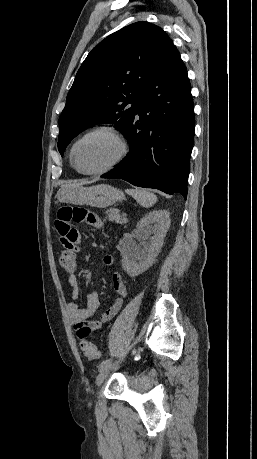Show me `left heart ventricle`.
I'll return each mask as SVG.
<instances>
[{
	"label": "left heart ventricle",
	"mask_w": 257,
	"mask_h": 459,
	"mask_svg": "<svg viewBox=\"0 0 257 459\" xmlns=\"http://www.w3.org/2000/svg\"><path fill=\"white\" fill-rule=\"evenodd\" d=\"M118 142L110 135L99 133L78 144L75 160L80 169L92 171L108 165L118 155Z\"/></svg>",
	"instance_id": "left-heart-ventricle-1"
}]
</instances>
